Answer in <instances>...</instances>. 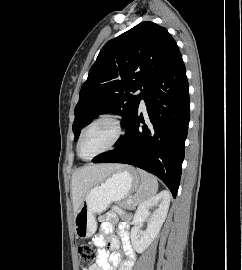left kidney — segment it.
Masks as SVG:
<instances>
[{
    "instance_id": "left-kidney-1",
    "label": "left kidney",
    "mask_w": 242,
    "mask_h": 270,
    "mask_svg": "<svg viewBox=\"0 0 242 270\" xmlns=\"http://www.w3.org/2000/svg\"><path fill=\"white\" fill-rule=\"evenodd\" d=\"M170 205V194L162 191L156 196L143 201L137 208L131 229V242L136 252H144L157 237L167 216ZM151 213L149 210L154 208ZM148 221L145 231L141 230L142 223Z\"/></svg>"
}]
</instances>
